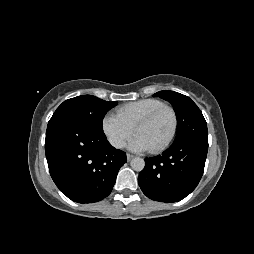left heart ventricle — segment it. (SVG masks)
<instances>
[{
    "label": "left heart ventricle",
    "instance_id": "b2bd125f",
    "mask_svg": "<svg viewBox=\"0 0 254 254\" xmlns=\"http://www.w3.org/2000/svg\"><path fill=\"white\" fill-rule=\"evenodd\" d=\"M173 128V117L167 110L159 113L151 122L141 126L137 134L141 135L149 144L150 148H155L164 143L170 136Z\"/></svg>",
    "mask_w": 254,
    "mask_h": 254
}]
</instances>
